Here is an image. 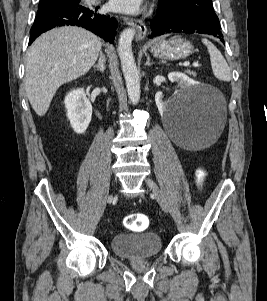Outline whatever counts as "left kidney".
I'll return each instance as SVG.
<instances>
[{
    "label": "left kidney",
    "mask_w": 267,
    "mask_h": 301,
    "mask_svg": "<svg viewBox=\"0 0 267 301\" xmlns=\"http://www.w3.org/2000/svg\"><path fill=\"white\" fill-rule=\"evenodd\" d=\"M168 79L172 82H174V81L179 82V83L183 84L185 87H191V86H194L197 84L192 79H190L187 75L180 73V72L169 73ZM156 104L160 108H163L165 105L159 96L156 97Z\"/></svg>",
    "instance_id": "5707ae66"
}]
</instances>
